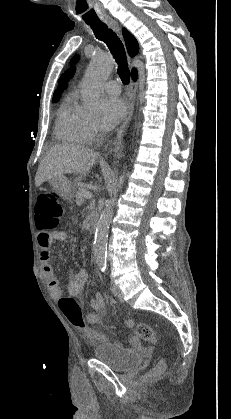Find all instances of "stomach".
I'll list each match as a JSON object with an SVG mask.
<instances>
[{
    "label": "stomach",
    "mask_w": 231,
    "mask_h": 419,
    "mask_svg": "<svg viewBox=\"0 0 231 419\" xmlns=\"http://www.w3.org/2000/svg\"><path fill=\"white\" fill-rule=\"evenodd\" d=\"M49 183L59 196L65 200H73L75 186L64 175L50 179Z\"/></svg>",
    "instance_id": "0dacf381"
}]
</instances>
